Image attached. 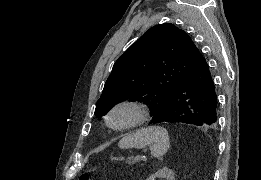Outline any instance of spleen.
<instances>
[{"instance_id":"1","label":"spleen","mask_w":261,"mask_h":180,"mask_svg":"<svg viewBox=\"0 0 261 180\" xmlns=\"http://www.w3.org/2000/svg\"><path fill=\"white\" fill-rule=\"evenodd\" d=\"M169 144V136L165 128L148 126V128H141L135 134H128V136L122 138L118 146L121 150H127V148L140 150V148L149 146L153 158H162V156H165Z\"/></svg>"}]
</instances>
